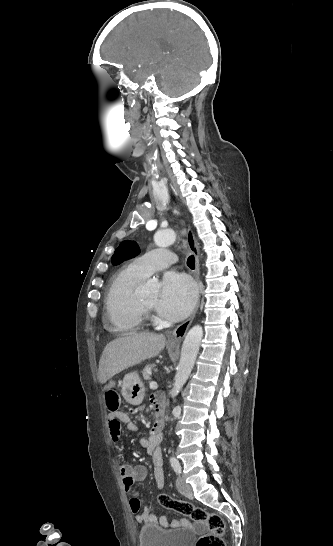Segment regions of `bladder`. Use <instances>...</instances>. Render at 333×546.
<instances>
[{
    "label": "bladder",
    "instance_id": "31cf9c89",
    "mask_svg": "<svg viewBox=\"0 0 333 546\" xmlns=\"http://www.w3.org/2000/svg\"><path fill=\"white\" fill-rule=\"evenodd\" d=\"M193 541L194 535L188 529L164 530L146 523L139 531L140 546H192Z\"/></svg>",
    "mask_w": 333,
    "mask_h": 546
}]
</instances>
